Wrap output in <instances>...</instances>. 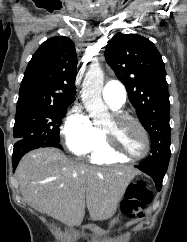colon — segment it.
I'll use <instances>...</instances> for the list:
<instances>
[{"mask_svg":"<svg viewBox=\"0 0 187 242\" xmlns=\"http://www.w3.org/2000/svg\"><path fill=\"white\" fill-rule=\"evenodd\" d=\"M152 192L143 180L132 183L122 202V211L130 219L143 216L145 207L152 201Z\"/></svg>","mask_w":187,"mask_h":242,"instance_id":"colon-1","label":"colon"}]
</instances>
